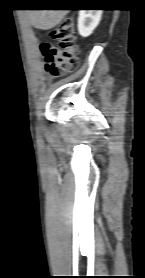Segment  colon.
I'll return each mask as SVG.
<instances>
[{
    "instance_id": "colon-1",
    "label": "colon",
    "mask_w": 145,
    "mask_h": 278,
    "mask_svg": "<svg viewBox=\"0 0 145 278\" xmlns=\"http://www.w3.org/2000/svg\"><path fill=\"white\" fill-rule=\"evenodd\" d=\"M45 57V69L52 77L64 76L75 64L78 56V42L73 34L70 17L63 18L60 25L48 32V40L40 43Z\"/></svg>"
}]
</instances>
